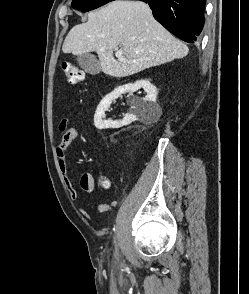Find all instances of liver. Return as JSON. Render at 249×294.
Instances as JSON below:
<instances>
[{
    "instance_id": "obj_1",
    "label": "liver",
    "mask_w": 249,
    "mask_h": 294,
    "mask_svg": "<svg viewBox=\"0 0 249 294\" xmlns=\"http://www.w3.org/2000/svg\"><path fill=\"white\" fill-rule=\"evenodd\" d=\"M118 47L124 60L113 56ZM62 51L77 56L96 52L102 72L120 78L183 58L189 49L154 19L146 3L116 0L74 26Z\"/></svg>"
}]
</instances>
